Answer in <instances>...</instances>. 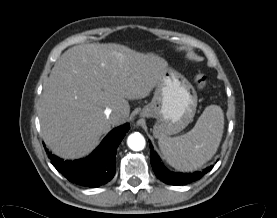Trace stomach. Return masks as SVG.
Returning <instances> with one entry per match:
<instances>
[{
  "instance_id": "0dacf381",
  "label": "stomach",
  "mask_w": 277,
  "mask_h": 218,
  "mask_svg": "<svg viewBox=\"0 0 277 218\" xmlns=\"http://www.w3.org/2000/svg\"><path fill=\"white\" fill-rule=\"evenodd\" d=\"M197 93L191 83L177 71L167 68L155 87L154 96L141 111V117H153L156 138L182 131L193 119Z\"/></svg>"
}]
</instances>
